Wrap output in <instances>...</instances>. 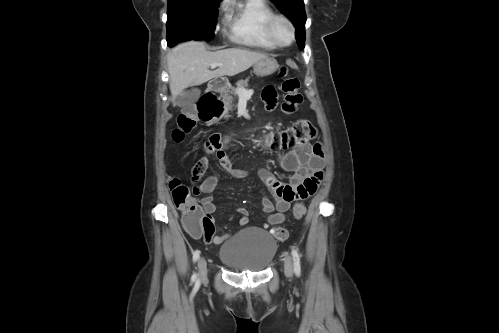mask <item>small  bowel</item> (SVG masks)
<instances>
[{"mask_svg":"<svg viewBox=\"0 0 499 333\" xmlns=\"http://www.w3.org/2000/svg\"><path fill=\"white\" fill-rule=\"evenodd\" d=\"M262 98L268 110L276 106L277 94L272 86H266L262 91ZM316 136V129L308 120H298L285 131L270 133L264 138L265 145L273 151L283 152L281 167L290 172L288 183L275 178L268 170H259V176L274 196L272 201L267 196L262 198V208L267 214L269 225H278L284 222L285 213L289 211L293 202L305 200L315 194L323 179L324 151L319 142L311 140ZM228 138L215 133L204 143L202 157L192 168L191 182L194 195L203 194L201 200L204 211L210 215L215 212L216 205L212 192L220 181L217 175H210L202 180L210 156H216L220 166L232 177L244 178L246 171L234 170L227 152ZM238 223L245 226L249 222V212L239 208ZM230 237V234L214 235L207 243L221 244Z\"/></svg>","mask_w":499,"mask_h":333,"instance_id":"obj_1","label":"small bowel"}]
</instances>
